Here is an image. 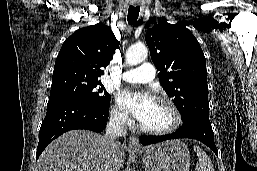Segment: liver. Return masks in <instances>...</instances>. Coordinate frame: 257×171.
Here are the masks:
<instances>
[{
  "mask_svg": "<svg viewBox=\"0 0 257 171\" xmlns=\"http://www.w3.org/2000/svg\"><path fill=\"white\" fill-rule=\"evenodd\" d=\"M115 168L123 167L125 150L117 142ZM105 136L72 130L52 141L37 162V171H104L107 161Z\"/></svg>",
  "mask_w": 257,
  "mask_h": 171,
  "instance_id": "1",
  "label": "liver"
}]
</instances>
